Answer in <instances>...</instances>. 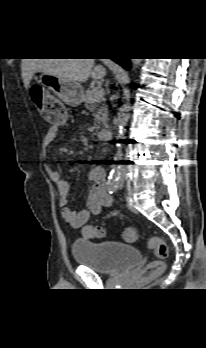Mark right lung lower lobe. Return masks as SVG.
Listing matches in <instances>:
<instances>
[{
  "label": "right lung lower lobe",
  "instance_id": "98d812e1",
  "mask_svg": "<svg viewBox=\"0 0 206 348\" xmlns=\"http://www.w3.org/2000/svg\"><path fill=\"white\" fill-rule=\"evenodd\" d=\"M115 62H117L118 64H120L123 68H125L126 70H129L131 67L130 64V59L129 58H119V59H113Z\"/></svg>",
  "mask_w": 206,
  "mask_h": 348
}]
</instances>
